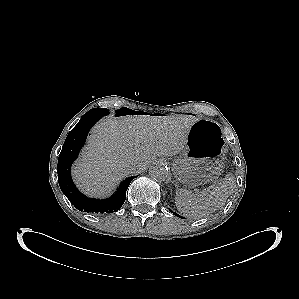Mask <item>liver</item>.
<instances>
[{
	"mask_svg": "<svg viewBox=\"0 0 299 299\" xmlns=\"http://www.w3.org/2000/svg\"><path fill=\"white\" fill-rule=\"evenodd\" d=\"M197 120L187 115L103 119L92 129L73 166L74 182L91 197L110 195L123 178L141 172L156 156L181 152Z\"/></svg>",
	"mask_w": 299,
	"mask_h": 299,
	"instance_id": "6515ba94",
	"label": "liver"
}]
</instances>
